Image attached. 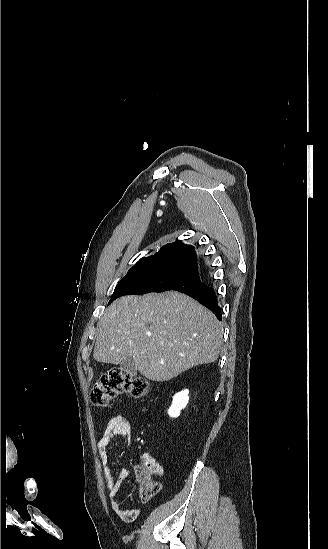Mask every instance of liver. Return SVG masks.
<instances>
[{"mask_svg": "<svg viewBox=\"0 0 328 549\" xmlns=\"http://www.w3.org/2000/svg\"><path fill=\"white\" fill-rule=\"evenodd\" d=\"M93 357L119 365L134 357L150 381H170L183 371L214 363L223 331L215 315L187 295L168 291L121 297L99 319Z\"/></svg>", "mask_w": 328, "mask_h": 549, "instance_id": "obj_1", "label": "liver"}]
</instances>
